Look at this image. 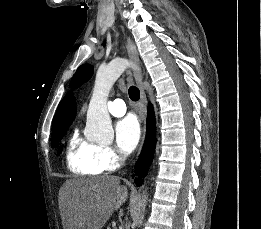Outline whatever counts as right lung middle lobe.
Wrapping results in <instances>:
<instances>
[{
  "mask_svg": "<svg viewBox=\"0 0 261 229\" xmlns=\"http://www.w3.org/2000/svg\"><path fill=\"white\" fill-rule=\"evenodd\" d=\"M70 124L71 123L52 126V146H55L62 139ZM62 148L63 145L59 148L57 155L61 153Z\"/></svg>",
  "mask_w": 261,
  "mask_h": 229,
  "instance_id": "dd1d6c3e",
  "label": "right lung middle lobe"
}]
</instances>
